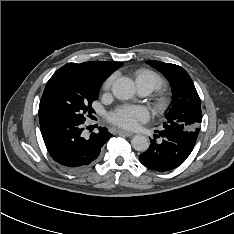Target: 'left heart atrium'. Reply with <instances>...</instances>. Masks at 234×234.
<instances>
[{"label":"left heart atrium","mask_w":234,"mask_h":234,"mask_svg":"<svg viewBox=\"0 0 234 234\" xmlns=\"http://www.w3.org/2000/svg\"><path fill=\"white\" fill-rule=\"evenodd\" d=\"M148 118L147 111L142 107L125 106L118 108L109 115V120L125 129H134L139 122Z\"/></svg>","instance_id":"39dd6f15"}]
</instances>
